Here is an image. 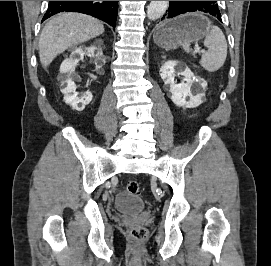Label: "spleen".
<instances>
[{"label": "spleen", "instance_id": "1", "mask_svg": "<svg viewBox=\"0 0 271 266\" xmlns=\"http://www.w3.org/2000/svg\"><path fill=\"white\" fill-rule=\"evenodd\" d=\"M204 45L208 48V52L202 54L200 65L208 72L219 70L227 57V41L218 26H210L208 33L205 35ZM183 49L189 53L190 43L183 42Z\"/></svg>", "mask_w": 271, "mask_h": 266}]
</instances>
